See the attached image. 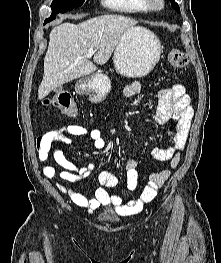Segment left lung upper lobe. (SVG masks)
Masks as SVG:
<instances>
[{
	"instance_id": "1",
	"label": "left lung upper lobe",
	"mask_w": 221,
	"mask_h": 263,
	"mask_svg": "<svg viewBox=\"0 0 221 263\" xmlns=\"http://www.w3.org/2000/svg\"><path fill=\"white\" fill-rule=\"evenodd\" d=\"M172 7L177 11L180 12V8L178 4L174 0H170Z\"/></svg>"
}]
</instances>
